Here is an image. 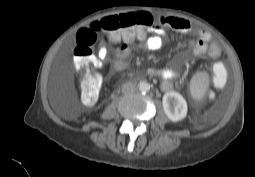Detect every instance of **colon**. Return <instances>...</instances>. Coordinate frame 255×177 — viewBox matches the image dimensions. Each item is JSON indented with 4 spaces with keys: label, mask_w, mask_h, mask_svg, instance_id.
Segmentation results:
<instances>
[{
    "label": "colon",
    "mask_w": 255,
    "mask_h": 177,
    "mask_svg": "<svg viewBox=\"0 0 255 177\" xmlns=\"http://www.w3.org/2000/svg\"><path fill=\"white\" fill-rule=\"evenodd\" d=\"M153 25L154 19L147 12L126 13L108 16L77 32L73 62L84 73L80 88L84 103H95L101 86V75L95 68L92 48L133 40Z\"/></svg>",
    "instance_id": "colon-1"
}]
</instances>
